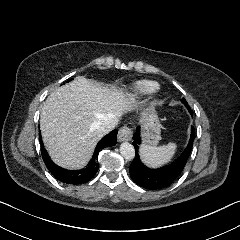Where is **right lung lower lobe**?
<instances>
[{
  "label": "right lung lower lobe",
  "mask_w": 240,
  "mask_h": 240,
  "mask_svg": "<svg viewBox=\"0 0 240 240\" xmlns=\"http://www.w3.org/2000/svg\"><path fill=\"white\" fill-rule=\"evenodd\" d=\"M117 133L118 130H113L111 133H109L100 140V142L97 144L95 148L91 161L84 169L81 170H67L54 164V162L50 159L46 149L43 146L41 134L39 133V141L42 147L41 149L42 158L51 174L60 182L73 185L83 184L88 182L95 176L99 168L98 164L99 152L106 147L114 146L116 144Z\"/></svg>",
  "instance_id": "1"
}]
</instances>
